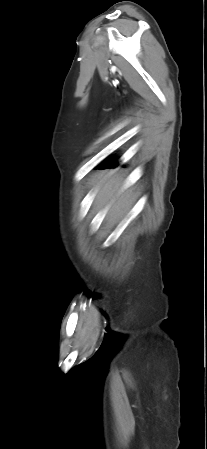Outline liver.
Listing matches in <instances>:
<instances>
[{
    "label": "liver",
    "mask_w": 207,
    "mask_h": 449,
    "mask_svg": "<svg viewBox=\"0 0 207 449\" xmlns=\"http://www.w3.org/2000/svg\"><path fill=\"white\" fill-rule=\"evenodd\" d=\"M95 183H100V189L95 200L96 206L102 208L110 204L108 217L113 220L122 218L130 210L133 202L131 190L120 193L123 179L117 174L108 177L105 173H102L97 179L94 178L91 181L92 185Z\"/></svg>",
    "instance_id": "obj_1"
}]
</instances>
